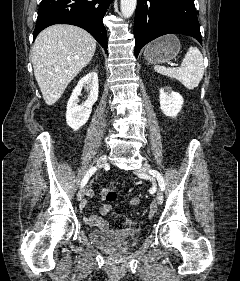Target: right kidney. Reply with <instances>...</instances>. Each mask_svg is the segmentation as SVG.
<instances>
[{
  "label": "right kidney",
  "mask_w": 240,
  "mask_h": 281,
  "mask_svg": "<svg viewBox=\"0 0 240 281\" xmlns=\"http://www.w3.org/2000/svg\"><path fill=\"white\" fill-rule=\"evenodd\" d=\"M89 91L87 100L79 105L82 89ZM98 75L90 72L78 82L67 104L66 122L74 131L80 129L89 119L92 106L98 99Z\"/></svg>",
  "instance_id": "ca27d5eb"
}]
</instances>
